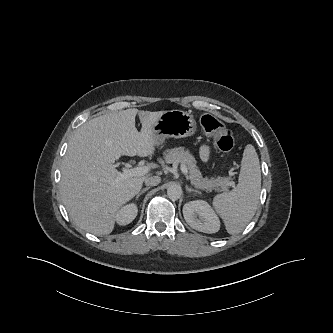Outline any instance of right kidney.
Here are the masks:
<instances>
[{
	"label": "right kidney",
	"instance_id": "right-kidney-1",
	"mask_svg": "<svg viewBox=\"0 0 333 333\" xmlns=\"http://www.w3.org/2000/svg\"><path fill=\"white\" fill-rule=\"evenodd\" d=\"M137 206L134 203L123 206L116 214V221L119 225L131 223L137 216Z\"/></svg>",
	"mask_w": 333,
	"mask_h": 333
}]
</instances>
